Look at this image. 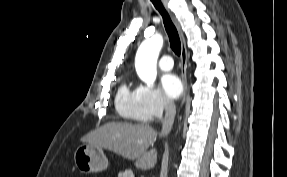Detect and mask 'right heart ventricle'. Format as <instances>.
I'll use <instances>...</instances> for the list:
<instances>
[{"label":"right heart ventricle","mask_w":287,"mask_h":177,"mask_svg":"<svg viewBox=\"0 0 287 177\" xmlns=\"http://www.w3.org/2000/svg\"><path fill=\"white\" fill-rule=\"evenodd\" d=\"M115 108L124 119L132 121L145 120L141 116L138 88L131 87L129 83H123L119 87L115 98Z\"/></svg>","instance_id":"e07e8e85"}]
</instances>
